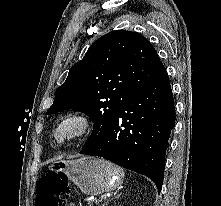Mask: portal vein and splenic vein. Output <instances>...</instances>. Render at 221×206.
Listing matches in <instances>:
<instances>
[{"label": "portal vein and splenic vein", "mask_w": 221, "mask_h": 206, "mask_svg": "<svg viewBox=\"0 0 221 206\" xmlns=\"http://www.w3.org/2000/svg\"><path fill=\"white\" fill-rule=\"evenodd\" d=\"M106 197H107L106 195H102L101 200L106 199Z\"/></svg>", "instance_id": "obj_1"}]
</instances>
